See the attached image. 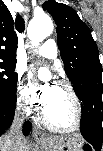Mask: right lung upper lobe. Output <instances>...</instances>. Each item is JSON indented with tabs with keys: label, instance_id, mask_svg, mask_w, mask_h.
<instances>
[{
	"label": "right lung upper lobe",
	"instance_id": "obj_1",
	"mask_svg": "<svg viewBox=\"0 0 103 151\" xmlns=\"http://www.w3.org/2000/svg\"><path fill=\"white\" fill-rule=\"evenodd\" d=\"M23 30V19L14 18L4 2L0 1V62L16 63V32Z\"/></svg>",
	"mask_w": 103,
	"mask_h": 151
}]
</instances>
